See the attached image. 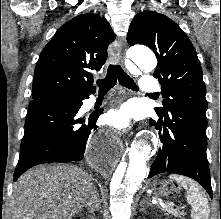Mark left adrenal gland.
I'll return each mask as SVG.
<instances>
[{"label":"left adrenal gland","instance_id":"1","mask_svg":"<svg viewBox=\"0 0 221 219\" xmlns=\"http://www.w3.org/2000/svg\"><path fill=\"white\" fill-rule=\"evenodd\" d=\"M144 204H145V202L142 201V202H141V206H142L141 211H144V210H145V209H144V207H145Z\"/></svg>","mask_w":221,"mask_h":219}]
</instances>
